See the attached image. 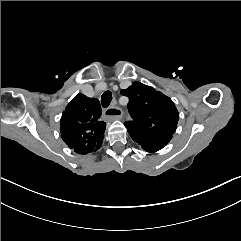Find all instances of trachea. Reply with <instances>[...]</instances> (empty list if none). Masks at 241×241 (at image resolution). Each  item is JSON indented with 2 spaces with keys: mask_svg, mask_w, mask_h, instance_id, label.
<instances>
[{
  "mask_svg": "<svg viewBox=\"0 0 241 241\" xmlns=\"http://www.w3.org/2000/svg\"><path fill=\"white\" fill-rule=\"evenodd\" d=\"M112 101L111 91H105L101 96V104L104 108H107Z\"/></svg>",
  "mask_w": 241,
  "mask_h": 241,
  "instance_id": "3493384b",
  "label": "trachea"
}]
</instances>
